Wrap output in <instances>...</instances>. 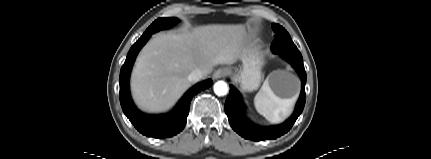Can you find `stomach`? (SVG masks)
<instances>
[{
    "label": "stomach",
    "mask_w": 431,
    "mask_h": 159,
    "mask_svg": "<svg viewBox=\"0 0 431 159\" xmlns=\"http://www.w3.org/2000/svg\"><path fill=\"white\" fill-rule=\"evenodd\" d=\"M242 68L234 74V81L244 91L257 90L261 83L262 56L253 49H246L241 57ZM271 90L280 98H292L299 92V80L284 71H275L266 79Z\"/></svg>",
    "instance_id": "1"
}]
</instances>
